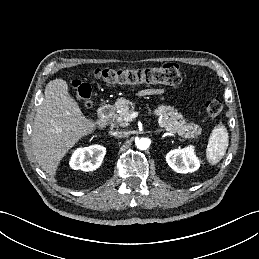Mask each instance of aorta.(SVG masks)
I'll list each match as a JSON object with an SVG mask.
<instances>
[{"instance_id":"1","label":"aorta","mask_w":259,"mask_h":259,"mask_svg":"<svg viewBox=\"0 0 259 259\" xmlns=\"http://www.w3.org/2000/svg\"><path fill=\"white\" fill-rule=\"evenodd\" d=\"M136 146L140 150H146L150 146V140L148 138H140L136 141Z\"/></svg>"}]
</instances>
